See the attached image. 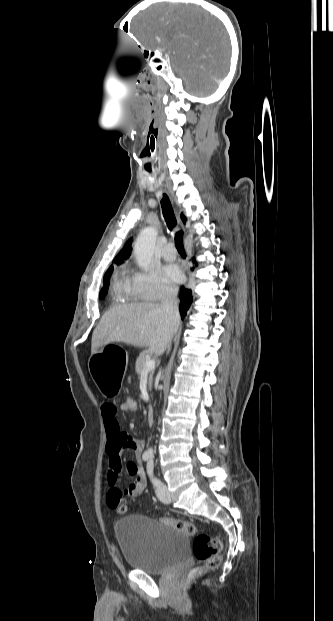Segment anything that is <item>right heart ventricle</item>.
<instances>
[{
    "label": "right heart ventricle",
    "mask_w": 333,
    "mask_h": 621,
    "mask_svg": "<svg viewBox=\"0 0 333 621\" xmlns=\"http://www.w3.org/2000/svg\"><path fill=\"white\" fill-rule=\"evenodd\" d=\"M112 295L118 301L133 302L139 300L132 287V277L126 268L119 270L113 281Z\"/></svg>",
    "instance_id": "e07e8e85"
}]
</instances>
